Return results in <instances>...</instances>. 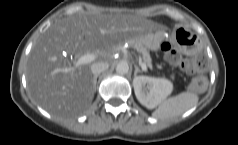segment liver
<instances>
[{
	"mask_svg": "<svg viewBox=\"0 0 238 145\" xmlns=\"http://www.w3.org/2000/svg\"><path fill=\"white\" fill-rule=\"evenodd\" d=\"M162 28L141 16L118 12L77 11L57 19L29 54L28 89L35 101L54 116L82 114L95 92L91 64L75 67L67 56L89 53L97 57V62H107L117 46Z\"/></svg>",
	"mask_w": 238,
	"mask_h": 145,
	"instance_id": "6515ba94",
	"label": "liver"
}]
</instances>
